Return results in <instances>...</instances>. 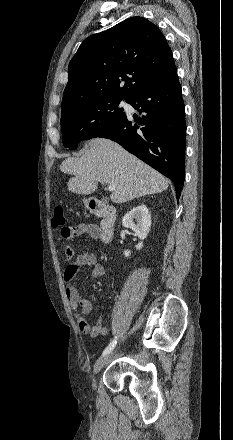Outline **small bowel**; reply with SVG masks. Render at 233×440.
I'll return each instance as SVG.
<instances>
[{"instance_id": "1", "label": "small bowel", "mask_w": 233, "mask_h": 440, "mask_svg": "<svg viewBox=\"0 0 233 440\" xmlns=\"http://www.w3.org/2000/svg\"><path fill=\"white\" fill-rule=\"evenodd\" d=\"M84 235L97 240L99 235L97 225L93 223H80L75 226H65L61 229V236L67 241H73ZM64 251L67 260L73 258L75 251L71 246H66ZM87 268L91 269L90 277L93 279L102 277L106 272L104 265L98 262L96 254L92 251H86L78 255L75 262L67 265L63 273V282L65 284V294L71 309L75 313L79 330L81 333L95 338L107 335L109 329L103 325L102 319H98L93 326L88 323L85 316L92 309L91 302L80 295L73 283L76 275L82 269Z\"/></svg>"}]
</instances>
